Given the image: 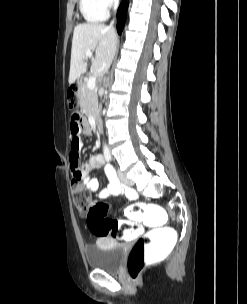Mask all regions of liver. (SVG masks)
Instances as JSON below:
<instances>
[{"label":"liver","mask_w":247,"mask_h":304,"mask_svg":"<svg viewBox=\"0 0 247 304\" xmlns=\"http://www.w3.org/2000/svg\"><path fill=\"white\" fill-rule=\"evenodd\" d=\"M117 34L112 27L99 23L78 24L74 28L69 84H73L86 68L85 53L95 51L90 72L102 77L109 69L115 55Z\"/></svg>","instance_id":"obj_1"}]
</instances>
